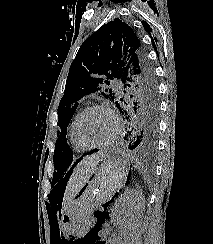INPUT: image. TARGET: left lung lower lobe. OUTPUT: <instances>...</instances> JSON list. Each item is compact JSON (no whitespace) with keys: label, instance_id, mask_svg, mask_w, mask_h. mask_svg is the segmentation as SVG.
<instances>
[{"label":"left lung lower lobe","instance_id":"left-lung-lower-lobe-1","mask_svg":"<svg viewBox=\"0 0 213 244\" xmlns=\"http://www.w3.org/2000/svg\"><path fill=\"white\" fill-rule=\"evenodd\" d=\"M122 114L129 122L128 128H126V134L124 136L128 149L132 150L139 156H153L156 151V136L158 127L157 120L155 121L151 118H135L127 112H123ZM79 161L80 160H77L71 169Z\"/></svg>","mask_w":213,"mask_h":244}]
</instances>
